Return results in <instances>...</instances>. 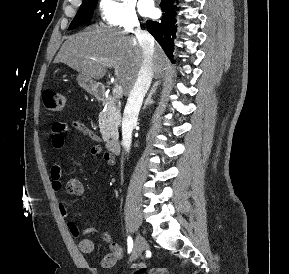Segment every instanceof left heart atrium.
<instances>
[{
  "mask_svg": "<svg viewBox=\"0 0 289 274\" xmlns=\"http://www.w3.org/2000/svg\"><path fill=\"white\" fill-rule=\"evenodd\" d=\"M139 9L143 15L146 16L153 15L155 12L153 0H140Z\"/></svg>",
  "mask_w": 289,
  "mask_h": 274,
  "instance_id": "1",
  "label": "left heart atrium"
}]
</instances>
